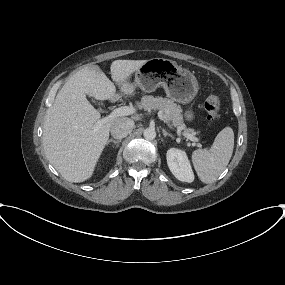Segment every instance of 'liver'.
<instances>
[{
	"label": "liver",
	"instance_id": "6515ba94",
	"mask_svg": "<svg viewBox=\"0 0 285 285\" xmlns=\"http://www.w3.org/2000/svg\"><path fill=\"white\" fill-rule=\"evenodd\" d=\"M146 60H115L111 77L124 95H134L128 80ZM116 87L97 65H88L72 75L46 111L43 124L45 155L69 182L89 179L107 144L114 120L100 119V113L86 95L97 100L113 98Z\"/></svg>",
	"mask_w": 285,
	"mask_h": 285
}]
</instances>
